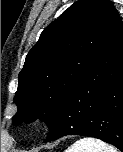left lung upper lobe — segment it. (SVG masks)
Listing matches in <instances>:
<instances>
[{"label":"left lung upper lobe","instance_id":"obj_1","mask_svg":"<svg viewBox=\"0 0 123 152\" xmlns=\"http://www.w3.org/2000/svg\"><path fill=\"white\" fill-rule=\"evenodd\" d=\"M120 17L108 0H79L47 26L19 74L13 125L40 116L51 129L58 109Z\"/></svg>","mask_w":123,"mask_h":152}]
</instances>
